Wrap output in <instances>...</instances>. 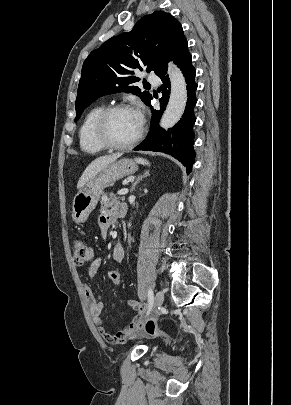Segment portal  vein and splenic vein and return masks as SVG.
I'll use <instances>...</instances> for the list:
<instances>
[{
	"label": "portal vein and splenic vein",
	"instance_id": "obj_1",
	"mask_svg": "<svg viewBox=\"0 0 291 405\" xmlns=\"http://www.w3.org/2000/svg\"><path fill=\"white\" fill-rule=\"evenodd\" d=\"M128 193V189L127 188H123L121 190L118 191L119 195H126Z\"/></svg>",
	"mask_w": 291,
	"mask_h": 405
}]
</instances>
